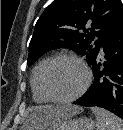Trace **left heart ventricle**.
Here are the masks:
<instances>
[{
    "mask_svg": "<svg viewBox=\"0 0 123 130\" xmlns=\"http://www.w3.org/2000/svg\"><path fill=\"white\" fill-rule=\"evenodd\" d=\"M84 81L83 69L72 60L56 62L48 75V85L51 92L60 98H68L76 94Z\"/></svg>",
    "mask_w": 123,
    "mask_h": 130,
    "instance_id": "obj_1",
    "label": "left heart ventricle"
}]
</instances>
